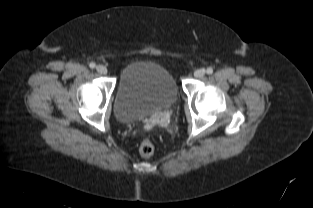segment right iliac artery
<instances>
[{"mask_svg": "<svg viewBox=\"0 0 313 208\" xmlns=\"http://www.w3.org/2000/svg\"><path fill=\"white\" fill-rule=\"evenodd\" d=\"M95 66H96V64H95L94 62H91V63L89 64V67L92 68V69L95 68Z\"/></svg>", "mask_w": 313, "mask_h": 208, "instance_id": "right-iliac-artery-1", "label": "right iliac artery"}]
</instances>
